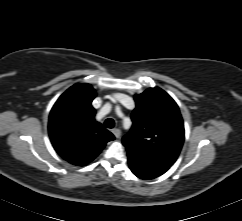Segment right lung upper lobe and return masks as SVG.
<instances>
[{
    "label": "right lung upper lobe",
    "instance_id": "cb5924a9",
    "mask_svg": "<svg viewBox=\"0 0 242 221\" xmlns=\"http://www.w3.org/2000/svg\"><path fill=\"white\" fill-rule=\"evenodd\" d=\"M95 96L89 84H75L60 96L49 115L53 147L63 159L77 166L91 162L115 138L95 121L91 105Z\"/></svg>",
    "mask_w": 242,
    "mask_h": 221
}]
</instances>
